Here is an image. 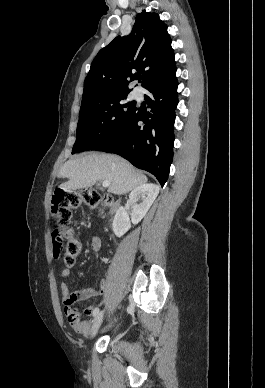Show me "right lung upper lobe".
Returning <instances> with one entry per match:
<instances>
[{"mask_svg":"<svg viewBox=\"0 0 265 388\" xmlns=\"http://www.w3.org/2000/svg\"><path fill=\"white\" fill-rule=\"evenodd\" d=\"M175 72L167 26L158 14L142 11L128 36L116 37L94 58L85 79L83 98L105 90L130 92L128 84L139 73H143L145 88Z\"/></svg>","mask_w":265,"mask_h":388,"instance_id":"1","label":"right lung upper lobe"}]
</instances>
